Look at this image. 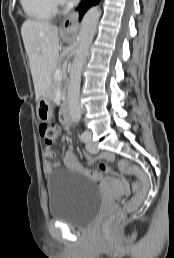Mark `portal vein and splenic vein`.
I'll use <instances>...</instances> for the list:
<instances>
[{
    "label": "portal vein and splenic vein",
    "mask_w": 174,
    "mask_h": 258,
    "mask_svg": "<svg viewBox=\"0 0 174 258\" xmlns=\"http://www.w3.org/2000/svg\"><path fill=\"white\" fill-rule=\"evenodd\" d=\"M55 77L56 78H61L62 77V71L60 69L56 70Z\"/></svg>",
    "instance_id": "18ae733b"
}]
</instances>
